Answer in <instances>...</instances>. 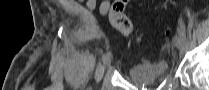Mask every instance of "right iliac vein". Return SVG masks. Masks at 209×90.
Segmentation results:
<instances>
[{"instance_id":"1","label":"right iliac vein","mask_w":209,"mask_h":90,"mask_svg":"<svg viewBox=\"0 0 209 90\" xmlns=\"http://www.w3.org/2000/svg\"><path fill=\"white\" fill-rule=\"evenodd\" d=\"M110 62H111V58L109 57V58H107V59L104 61V63H103V68H104L105 66L109 65Z\"/></svg>"}]
</instances>
